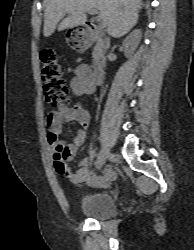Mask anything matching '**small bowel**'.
<instances>
[{
	"instance_id": "1",
	"label": "small bowel",
	"mask_w": 194,
	"mask_h": 250,
	"mask_svg": "<svg viewBox=\"0 0 194 250\" xmlns=\"http://www.w3.org/2000/svg\"><path fill=\"white\" fill-rule=\"evenodd\" d=\"M91 68L87 64L79 65L70 82V91L75 96L91 95L95 91V84L91 79ZM91 120L90 113L82 106H59L57 110L47 115V139L51 146L53 163L58 174L66 176L72 183L90 182L92 156L83 159L79 168L72 171L66 164L77 153L79 146L86 140L87 128ZM77 121L80 128L77 130L74 142L67 144L59 140L63 124Z\"/></svg>"
}]
</instances>
